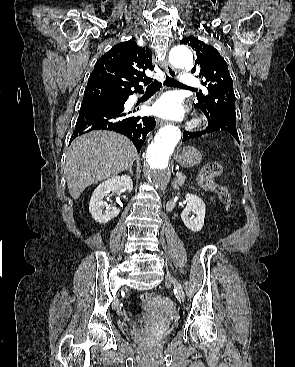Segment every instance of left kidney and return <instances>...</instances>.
<instances>
[{
    "label": "left kidney",
    "instance_id": "5707ae66",
    "mask_svg": "<svg viewBox=\"0 0 295 367\" xmlns=\"http://www.w3.org/2000/svg\"><path fill=\"white\" fill-rule=\"evenodd\" d=\"M185 197L187 205L181 213V219L192 232H199L204 225L205 203L200 197L191 193H187Z\"/></svg>",
    "mask_w": 295,
    "mask_h": 367
}]
</instances>
